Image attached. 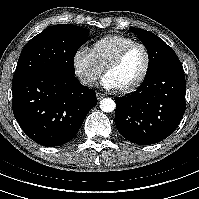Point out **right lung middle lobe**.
<instances>
[{
  "instance_id": "dd1d6c3e",
  "label": "right lung middle lobe",
  "mask_w": 199,
  "mask_h": 199,
  "mask_svg": "<svg viewBox=\"0 0 199 199\" xmlns=\"http://www.w3.org/2000/svg\"><path fill=\"white\" fill-rule=\"evenodd\" d=\"M88 38V30L72 24L46 28L23 48L13 77L43 70L75 75L73 58Z\"/></svg>"
}]
</instances>
